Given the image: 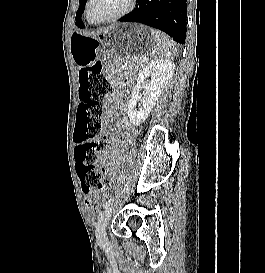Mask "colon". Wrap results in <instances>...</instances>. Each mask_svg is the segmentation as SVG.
<instances>
[{"mask_svg": "<svg viewBox=\"0 0 265 273\" xmlns=\"http://www.w3.org/2000/svg\"><path fill=\"white\" fill-rule=\"evenodd\" d=\"M103 65L96 62L83 66L79 71V98L77 123L73 139L78 143L74 150L75 168L83 191L88 195L87 205L97 206L104 194L103 174L97 169V154L107 143L97 138L107 114L104 100L112 87L102 72ZM97 138V139H96Z\"/></svg>", "mask_w": 265, "mask_h": 273, "instance_id": "obj_1", "label": "colon"}]
</instances>
